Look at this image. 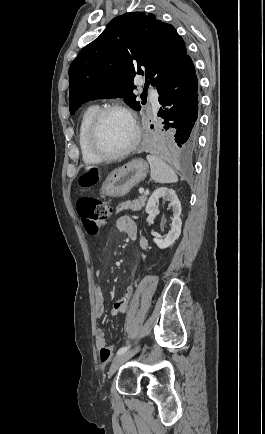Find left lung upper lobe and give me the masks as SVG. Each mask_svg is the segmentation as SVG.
<instances>
[{
    "instance_id": "1",
    "label": "left lung upper lobe",
    "mask_w": 265,
    "mask_h": 434,
    "mask_svg": "<svg viewBox=\"0 0 265 434\" xmlns=\"http://www.w3.org/2000/svg\"><path fill=\"white\" fill-rule=\"evenodd\" d=\"M186 57L185 43L172 25L143 12L118 16L69 68L70 113L90 99L110 97L140 110L132 93L135 75H145L144 91L151 83L160 94Z\"/></svg>"
}]
</instances>
